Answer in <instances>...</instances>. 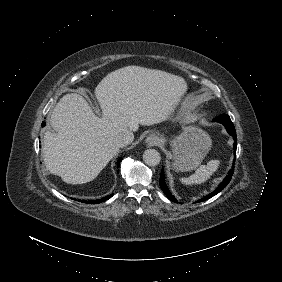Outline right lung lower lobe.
I'll return each instance as SVG.
<instances>
[{
    "label": "right lung lower lobe",
    "instance_id": "obj_1",
    "mask_svg": "<svg viewBox=\"0 0 282 282\" xmlns=\"http://www.w3.org/2000/svg\"><path fill=\"white\" fill-rule=\"evenodd\" d=\"M43 125H45L44 122H43ZM121 160H122V158L118 159V161H117V167H119V164H120ZM112 196H113V194L108 195V196H106V197H104V198H101V199H98V200H88V201H86V200H81V202H83V203H88V204H98V203H100V202H103V201H105V200L111 198ZM74 200H75V199H74ZM78 201H79V200H78Z\"/></svg>",
    "mask_w": 282,
    "mask_h": 282
}]
</instances>
